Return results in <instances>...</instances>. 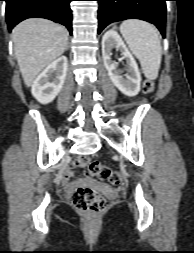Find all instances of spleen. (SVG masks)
<instances>
[{"mask_svg":"<svg viewBox=\"0 0 194 253\" xmlns=\"http://www.w3.org/2000/svg\"><path fill=\"white\" fill-rule=\"evenodd\" d=\"M120 32L131 52L140 61L145 77L155 80L162 58V47L156 28L148 22L129 19L122 22Z\"/></svg>","mask_w":194,"mask_h":253,"instance_id":"1","label":"spleen"}]
</instances>
